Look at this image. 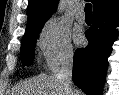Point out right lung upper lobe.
<instances>
[{
  "mask_svg": "<svg viewBox=\"0 0 119 95\" xmlns=\"http://www.w3.org/2000/svg\"><path fill=\"white\" fill-rule=\"evenodd\" d=\"M59 0H30L27 12V28L29 32L38 27L44 26V23L55 12ZM93 3V15L112 7L119 3V0H90Z\"/></svg>",
  "mask_w": 119,
  "mask_h": 95,
  "instance_id": "obj_1",
  "label": "right lung upper lobe"
}]
</instances>
